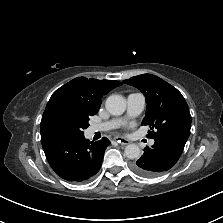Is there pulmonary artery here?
I'll use <instances>...</instances> for the list:
<instances>
[{
  "mask_svg": "<svg viewBox=\"0 0 223 223\" xmlns=\"http://www.w3.org/2000/svg\"><path fill=\"white\" fill-rule=\"evenodd\" d=\"M145 107V98L140 93H131L127 96V111L123 117L114 118L102 123L94 124L90 127V132L107 131L116 129L123 125L128 119L136 117L142 113ZM150 145L154 144V140L149 141Z\"/></svg>",
  "mask_w": 223,
  "mask_h": 223,
  "instance_id": "obj_1",
  "label": "pulmonary artery"
}]
</instances>
